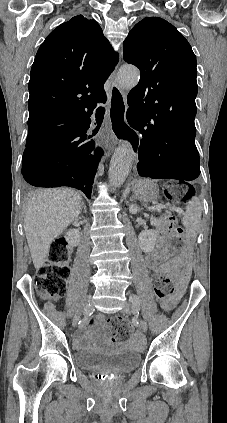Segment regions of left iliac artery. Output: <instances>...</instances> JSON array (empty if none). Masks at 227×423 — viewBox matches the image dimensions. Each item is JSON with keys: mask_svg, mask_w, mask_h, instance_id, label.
<instances>
[{"mask_svg": "<svg viewBox=\"0 0 227 423\" xmlns=\"http://www.w3.org/2000/svg\"><path fill=\"white\" fill-rule=\"evenodd\" d=\"M130 302L132 303V305H134V304H137L138 305V306H134L133 310L135 312H138V314H139V311H140V302H139L138 297L135 294H131L130 295Z\"/></svg>", "mask_w": 227, "mask_h": 423, "instance_id": "left-iliac-artery-1", "label": "left iliac artery"}]
</instances>
